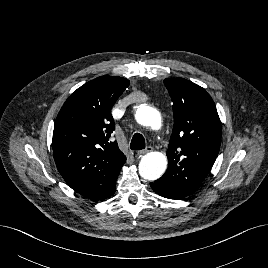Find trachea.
<instances>
[{"instance_id": "1", "label": "trachea", "mask_w": 268, "mask_h": 268, "mask_svg": "<svg viewBox=\"0 0 268 268\" xmlns=\"http://www.w3.org/2000/svg\"><path fill=\"white\" fill-rule=\"evenodd\" d=\"M130 148L132 150H142L145 148V139L142 134L135 133L132 137Z\"/></svg>"}]
</instances>
